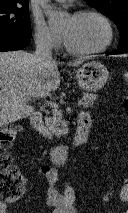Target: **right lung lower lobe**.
Wrapping results in <instances>:
<instances>
[{"label":"right lung lower lobe","mask_w":128,"mask_h":213,"mask_svg":"<svg viewBox=\"0 0 128 213\" xmlns=\"http://www.w3.org/2000/svg\"><path fill=\"white\" fill-rule=\"evenodd\" d=\"M30 37L0 36V51L20 50L29 45Z\"/></svg>","instance_id":"98d812e1"}]
</instances>
